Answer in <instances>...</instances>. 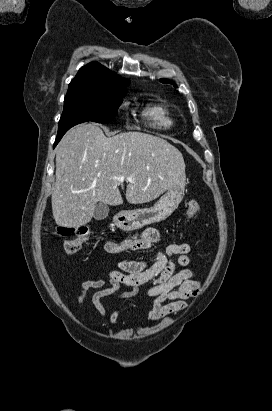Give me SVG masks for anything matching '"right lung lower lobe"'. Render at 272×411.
I'll return each instance as SVG.
<instances>
[{"instance_id":"98d812e1","label":"right lung lower lobe","mask_w":272,"mask_h":411,"mask_svg":"<svg viewBox=\"0 0 272 411\" xmlns=\"http://www.w3.org/2000/svg\"><path fill=\"white\" fill-rule=\"evenodd\" d=\"M62 136H57L56 141L54 143V147L57 145V143L61 140Z\"/></svg>"}]
</instances>
